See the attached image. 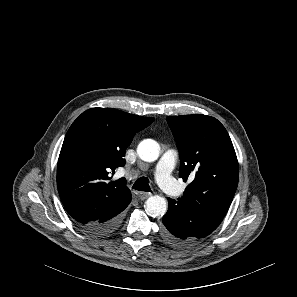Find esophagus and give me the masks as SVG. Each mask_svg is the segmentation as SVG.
Instances as JSON below:
<instances>
[{"mask_svg":"<svg viewBox=\"0 0 297 297\" xmlns=\"http://www.w3.org/2000/svg\"><path fill=\"white\" fill-rule=\"evenodd\" d=\"M137 195L140 200H145V199L149 198L152 194L147 193V192H139V193H137Z\"/></svg>","mask_w":297,"mask_h":297,"instance_id":"34e87169","label":"esophagus"}]
</instances>
